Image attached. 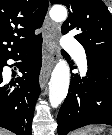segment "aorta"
<instances>
[{"instance_id": "1", "label": "aorta", "mask_w": 112, "mask_h": 135, "mask_svg": "<svg viewBox=\"0 0 112 135\" xmlns=\"http://www.w3.org/2000/svg\"><path fill=\"white\" fill-rule=\"evenodd\" d=\"M55 22H63L67 18L64 6H53L49 12ZM70 84V68L66 60L60 59L53 69L49 82V102L53 108L58 107L66 98Z\"/></svg>"}]
</instances>
